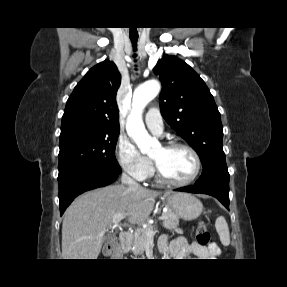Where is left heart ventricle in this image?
Listing matches in <instances>:
<instances>
[{"label":"left heart ventricle","instance_id":"obj_1","mask_svg":"<svg viewBox=\"0 0 287 287\" xmlns=\"http://www.w3.org/2000/svg\"><path fill=\"white\" fill-rule=\"evenodd\" d=\"M151 157L158 161L168 177L176 181L189 179L195 171L192 154L182 148L166 150L160 146Z\"/></svg>","mask_w":287,"mask_h":287}]
</instances>
